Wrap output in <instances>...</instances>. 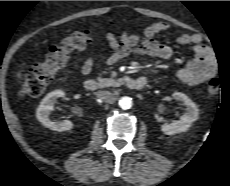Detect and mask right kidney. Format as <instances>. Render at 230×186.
<instances>
[{
    "label": "right kidney",
    "instance_id": "1",
    "mask_svg": "<svg viewBox=\"0 0 230 186\" xmlns=\"http://www.w3.org/2000/svg\"><path fill=\"white\" fill-rule=\"evenodd\" d=\"M65 91L55 90L48 93L40 102L36 111L37 119L47 128L54 131H68L73 128V123L70 120L52 121L49 118L50 112L54 109V103L57 98L64 97Z\"/></svg>",
    "mask_w": 230,
    "mask_h": 186
}]
</instances>
